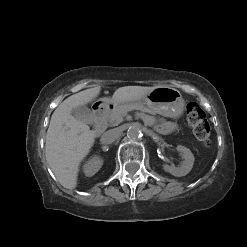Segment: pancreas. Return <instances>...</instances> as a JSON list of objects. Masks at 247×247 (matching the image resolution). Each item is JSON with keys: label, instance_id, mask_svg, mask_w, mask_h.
Here are the masks:
<instances>
[{"label": "pancreas", "instance_id": "cf45deb5", "mask_svg": "<svg viewBox=\"0 0 247 247\" xmlns=\"http://www.w3.org/2000/svg\"><path fill=\"white\" fill-rule=\"evenodd\" d=\"M132 110L155 114V112L139 103L122 104L107 113L103 119V122L110 126H117L123 121V117L127 114V112Z\"/></svg>", "mask_w": 247, "mask_h": 247}]
</instances>
